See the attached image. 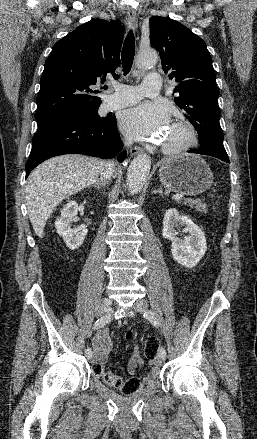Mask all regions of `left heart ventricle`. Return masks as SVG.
I'll use <instances>...</instances> for the list:
<instances>
[{
	"mask_svg": "<svg viewBox=\"0 0 257 439\" xmlns=\"http://www.w3.org/2000/svg\"><path fill=\"white\" fill-rule=\"evenodd\" d=\"M184 140H185L184 130L179 127L171 125L169 126V128L167 129L164 135L163 144L175 145L182 143Z\"/></svg>",
	"mask_w": 257,
	"mask_h": 439,
	"instance_id": "left-heart-ventricle-1",
	"label": "left heart ventricle"
}]
</instances>
